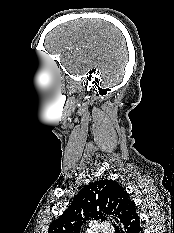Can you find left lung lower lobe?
Returning <instances> with one entry per match:
<instances>
[{
  "mask_svg": "<svg viewBox=\"0 0 174 233\" xmlns=\"http://www.w3.org/2000/svg\"><path fill=\"white\" fill-rule=\"evenodd\" d=\"M124 231H118V233H144L140 224V217L137 212H134L129 218H127L124 222Z\"/></svg>",
  "mask_w": 174,
  "mask_h": 233,
  "instance_id": "0a47b994",
  "label": "left lung lower lobe"
}]
</instances>
